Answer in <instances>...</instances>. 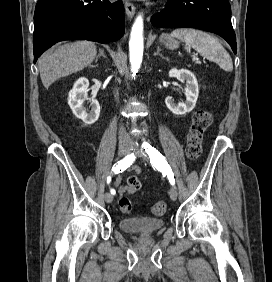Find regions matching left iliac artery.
Listing matches in <instances>:
<instances>
[{"label": "left iliac artery", "instance_id": "1", "mask_svg": "<svg viewBox=\"0 0 272 282\" xmlns=\"http://www.w3.org/2000/svg\"><path fill=\"white\" fill-rule=\"evenodd\" d=\"M142 148L148 154L152 166L155 167L157 170L161 171L162 173H165L171 185H174V174L172 172L171 167L167 163L165 157L156 148L152 147L147 142H144L142 144Z\"/></svg>", "mask_w": 272, "mask_h": 282}]
</instances>
